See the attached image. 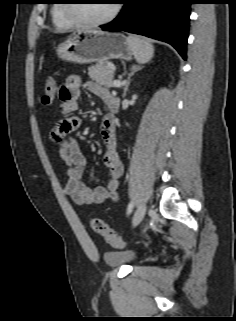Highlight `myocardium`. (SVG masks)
I'll return each mask as SVG.
<instances>
[{
	"instance_id": "myocardium-1",
	"label": "myocardium",
	"mask_w": 236,
	"mask_h": 321,
	"mask_svg": "<svg viewBox=\"0 0 236 321\" xmlns=\"http://www.w3.org/2000/svg\"><path fill=\"white\" fill-rule=\"evenodd\" d=\"M66 1H68V3H65V6H64L66 16L75 25L82 26V27H99V26L106 25L116 18V16L118 15L121 9V5L118 2H116L114 3L113 8L108 16H106L101 20L88 21L80 18L76 14L75 9H76L77 3L73 2L74 0H66Z\"/></svg>"
}]
</instances>
